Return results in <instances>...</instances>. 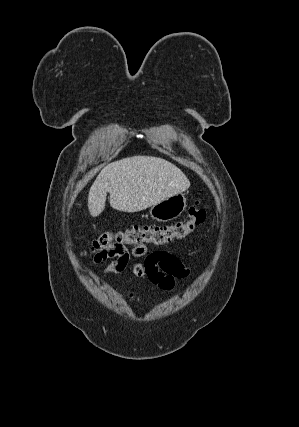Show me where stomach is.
<instances>
[{
	"label": "stomach",
	"mask_w": 299,
	"mask_h": 427,
	"mask_svg": "<svg viewBox=\"0 0 299 427\" xmlns=\"http://www.w3.org/2000/svg\"><path fill=\"white\" fill-rule=\"evenodd\" d=\"M186 207V197L179 193L151 206L149 214L157 221L167 222L179 217Z\"/></svg>",
	"instance_id": "obj_1"
}]
</instances>
